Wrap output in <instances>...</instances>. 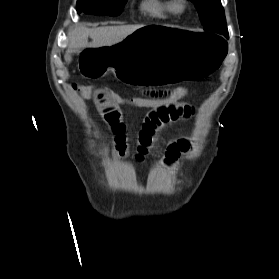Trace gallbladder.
Here are the masks:
<instances>
[{"mask_svg":"<svg viewBox=\"0 0 279 279\" xmlns=\"http://www.w3.org/2000/svg\"><path fill=\"white\" fill-rule=\"evenodd\" d=\"M65 61H66L67 63H70V62L72 61V56H71V54H66V55H65Z\"/></svg>","mask_w":279,"mask_h":279,"instance_id":"bac80fb5","label":"gallbladder"}]
</instances>
